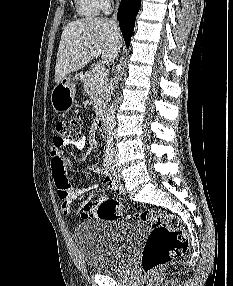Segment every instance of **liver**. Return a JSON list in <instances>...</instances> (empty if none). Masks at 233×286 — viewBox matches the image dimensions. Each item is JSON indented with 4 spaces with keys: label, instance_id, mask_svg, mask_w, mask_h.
Wrapping results in <instances>:
<instances>
[{
    "label": "liver",
    "instance_id": "liver-1",
    "mask_svg": "<svg viewBox=\"0 0 233 286\" xmlns=\"http://www.w3.org/2000/svg\"><path fill=\"white\" fill-rule=\"evenodd\" d=\"M122 42L118 25L107 18H85L68 23L57 53L55 82L60 83L68 74L100 55L105 63H111Z\"/></svg>",
    "mask_w": 233,
    "mask_h": 286
}]
</instances>
